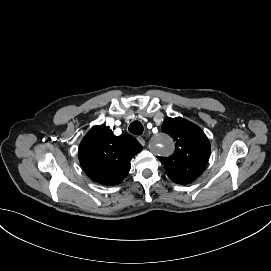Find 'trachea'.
Instances as JSON below:
<instances>
[{
  "instance_id": "1",
  "label": "trachea",
  "mask_w": 271,
  "mask_h": 271,
  "mask_svg": "<svg viewBox=\"0 0 271 271\" xmlns=\"http://www.w3.org/2000/svg\"><path fill=\"white\" fill-rule=\"evenodd\" d=\"M128 129L134 135H142L143 133V125L139 121L132 122Z\"/></svg>"
}]
</instances>
